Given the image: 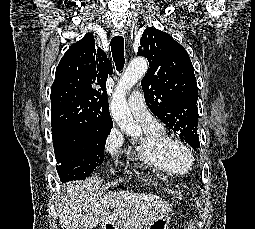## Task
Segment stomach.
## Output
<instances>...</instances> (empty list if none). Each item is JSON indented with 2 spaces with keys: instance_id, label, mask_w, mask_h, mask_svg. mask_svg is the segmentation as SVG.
<instances>
[{
  "instance_id": "obj_1",
  "label": "stomach",
  "mask_w": 255,
  "mask_h": 229,
  "mask_svg": "<svg viewBox=\"0 0 255 229\" xmlns=\"http://www.w3.org/2000/svg\"><path fill=\"white\" fill-rule=\"evenodd\" d=\"M171 216L169 213H164L155 218L152 222L147 224L144 229H169ZM102 229H124L111 223L102 224Z\"/></svg>"
}]
</instances>
